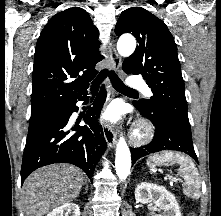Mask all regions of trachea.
I'll list each match as a JSON object with an SVG mask.
<instances>
[{
	"label": "trachea",
	"mask_w": 221,
	"mask_h": 216,
	"mask_svg": "<svg viewBox=\"0 0 221 216\" xmlns=\"http://www.w3.org/2000/svg\"><path fill=\"white\" fill-rule=\"evenodd\" d=\"M109 76L111 83L113 87L122 92L127 93H137V91L127 87L117 76V74L114 71H108L107 69H104L101 71V73L98 75V77L94 80L93 86H92V92L96 93L98 91L99 84L107 77Z\"/></svg>",
	"instance_id": "1"
}]
</instances>
